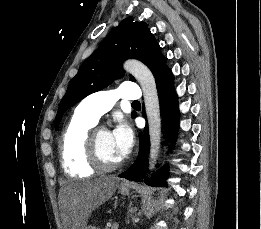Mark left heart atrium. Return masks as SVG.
<instances>
[{
  "label": "left heart atrium",
  "mask_w": 261,
  "mask_h": 229,
  "mask_svg": "<svg viewBox=\"0 0 261 229\" xmlns=\"http://www.w3.org/2000/svg\"><path fill=\"white\" fill-rule=\"evenodd\" d=\"M115 149L121 159L127 157L134 145V132L131 126L122 122L111 132Z\"/></svg>",
  "instance_id": "1"
}]
</instances>
